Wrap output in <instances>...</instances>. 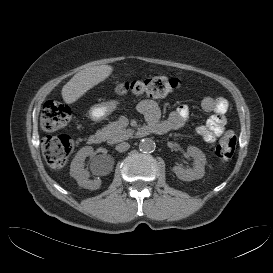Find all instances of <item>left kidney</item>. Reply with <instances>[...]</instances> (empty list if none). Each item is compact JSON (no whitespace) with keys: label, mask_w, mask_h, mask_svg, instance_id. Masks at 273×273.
<instances>
[{"label":"left kidney","mask_w":273,"mask_h":273,"mask_svg":"<svg viewBox=\"0 0 273 273\" xmlns=\"http://www.w3.org/2000/svg\"><path fill=\"white\" fill-rule=\"evenodd\" d=\"M187 153L194 159L193 168L184 169L180 166H174V173L183 181H193L202 178L205 174V154L195 146H189L187 148Z\"/></svg>","instance_id":"obj_1"}]
</instances>
